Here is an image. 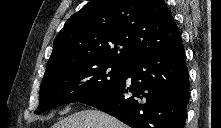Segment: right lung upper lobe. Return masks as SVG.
<instances>
[{
  "label": "right lung upper lobe",
  "mask_w": 221,
  "mask_h": 128,
  "mask_svg": "<svg viewBox=\"0 0 221 128\" xmlns=\"http://www.w3.org/2000/svg\"><path fill=\"white\" fill-rule=\"evenodd\" d=\"M181 42L163 0H91L56 36L46 72L73 62L127 65Z\"/></svg>",
  "instance_id": "1"
}]
</instances>
